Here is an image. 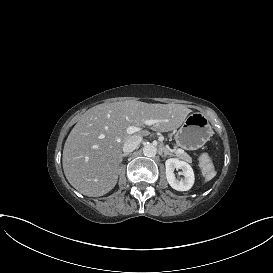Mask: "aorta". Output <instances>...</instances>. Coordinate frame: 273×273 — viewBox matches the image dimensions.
Instances as JSON below:
<instances>
[{
    "instance_id": "obj_1",
    "label": "aorta",
    "mask_w": 273,
    "mask_h": 273,
    "mask_svg": "<svg viewBox=\"0 0 273 273\" xmlns=\"http://www.w3.org/2000/svg\"><path fill=\"white\" fill-rule=\"evenodd\" d=\"M143 153L147 157H154L157 154V147L152 143H147L143 147Z\"/></svg>"
}]
</instances>
